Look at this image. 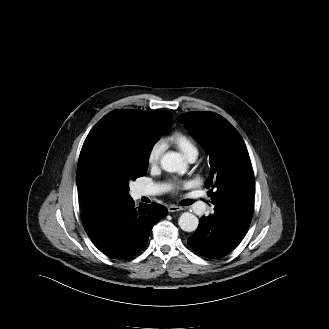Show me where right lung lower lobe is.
Wrapping results in <instances>:
<instances>
[{"mask_svg":"<svg viewBox=\"0 0 329 329\" xmlns=\"http://www.w3.org/2000/svg\"><path fill=\"white\" fill-rule=\"evenodd\" d=\"M82 209L88 236L97 248L115 259L131 257L144 249L152 227L168 212L157 203L135 209L131 197L104 200Z\"/></svg>","mask_w":329,"mask_h":329,"instance_id":"1","label":"right lung lower lobe"}]
</instances>
